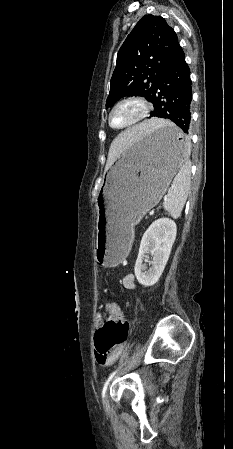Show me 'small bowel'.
I'll return each mask as SVG.
<instances>
[{
    "label": "small bowel",
    "instance_id": "1",
    "mask_svg": "<svg viewBox=\"0 0 233 449\" xmlns=\"http://www.w3.org/2000/svg\"><path fill=\"white\" fill-rule=\"evenodd\" d=\"M122 285L126 289H135L136 285H135V281H134V276L132 274L125 275L122 279ZM95 323H96V327L98 330L103 328L104 319H103V316L101 313L96 314ZM122 349H123V346H120L104 355H99V354L95 353L97 363L100 366H104V367H109V366L113 365V363L118 359Z\"/></svg>",
    "mask_w": 233,
    "mask_h": 449
}]
</instances>
